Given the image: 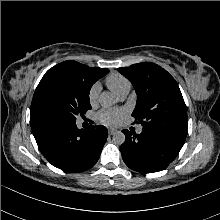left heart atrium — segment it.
<instances>
[{"label":"left heart atrium","instance_id":"obj_1","mask_svg":"<svg viewBox=\"0 0 220 220\" xmlns=\"http://www.w3.org/2000/svg\"><path fill=\"white\" fill-rule=\"evenodd\" d=\"M124 116L125 112L121 109H104L98 113V120L106 126H117Z\"/></svg>","mask_w":220,"mask_h":220}]
</instances>
